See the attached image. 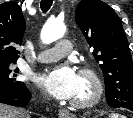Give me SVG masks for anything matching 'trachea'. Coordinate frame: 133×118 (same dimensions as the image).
Wrapping results in <instances>:
<instances>
[{"instance_id":"1","label":"trachea","mask_w":133,"mask_h":118,"mask_svg":"<svg viewBox=\"0 0 133 118\" xmlns=\"http://www.w3.org/2000/svg\"><path fill=\"white\" fill-rule=\"evenodd\" d=\"M53 3V0H41V9L43 12H47L51 5Z\"/></svg>"}]
</instances>
